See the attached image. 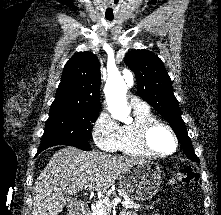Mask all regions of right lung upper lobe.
I'll return each mask as SVG.
<instances>
[{"label":"right lung upper lobe","mask_w":221,"mask_h":215,"mask_svg":"<svg viewBox=\"0 0 221 215\" xmlns=\"http://www.w3.org/2000/svg\"><path fill=\"white\" fill-rule=\"evenodd\" d=\"M100 63L91 52H78L66 63L50 113L100 110Z\"/></svg>","instance_id":"1"}]
</instances>
